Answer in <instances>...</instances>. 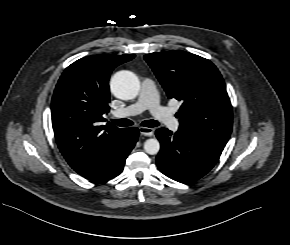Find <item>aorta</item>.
I'll return each instance as SVG.
<instances>
[{"label":"aorta","mask_w":290,"mask_h":245,"mask_svg":"<svg viewBox=\"0 0 290 245\" xmlns=\"http://www.w3.org/2000/svg\"><path fill=\"white\" fill-rule=\"evenodd\" d=\"M112 93L119 99L130 100L135 98L140 90V82L137 76L130 71H119L110 82ZM144 150L150 155H155L160 150V143L155 138L144 142Z\"/></svg>","instance_id":"obj_1"}]
</instances>
